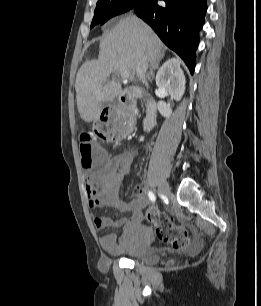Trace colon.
<instances>
[{
	"label": "colon",
	"mask_w": 261,
	"mask_h": 306,
	"mask_svg": "<svg viewBox=\"0 0 261 306\" xmlns=\"http://www.w3.org/2000/svg\"><path fill=\"white\" fill-rule=\"evenodd\" d=\"M108 111H112V108ZM114 115L115 122L113 124L98 121L95 131L81 135L79 153L84 170L92 169L94 165L99 164L103 160L105 155L104 152L100 151L98 152L99 159L97 158V151H95L93 140L103 139L106 136L114 138L123 137L134 117L132 109H124V113ZM147 218L154 225L157 238L161 242L170 244L175 250L186 249L190 246L191 239L187 231L175 226L168 214L152 207L147 210Z\"/></svg>",
	"instance_id": "5ec220e1"
}]
</instances>
